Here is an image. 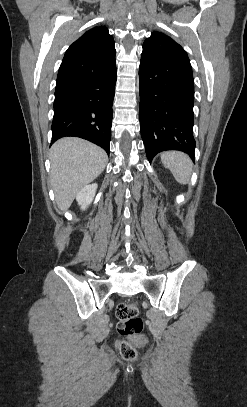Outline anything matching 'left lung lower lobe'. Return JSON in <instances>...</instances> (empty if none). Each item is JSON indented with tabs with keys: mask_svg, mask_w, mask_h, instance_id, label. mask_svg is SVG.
<instances>
[{
	"mask_svg": "<svg viewBox=\"0 0 247 407\" xmlns=\"http://www.w3.org/2000/svg\"><path fill=\"white\" fill-rule=\"evenodd\" d=\"M139 120L148 160L179 150L194 160L192 70L141 55Z\"/></svg>",
	"mask_w": 247,
	"mask_h": 407,
	"instance_id": "1",
	"label": "left lung lower lobe"
}]
</instances>
